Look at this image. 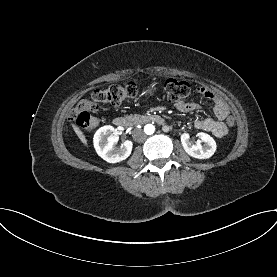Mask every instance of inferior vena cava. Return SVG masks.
<instances>
[{
  "label": "inferior vena cava",
  "instance_id": "inferior-vena-cava-1",
  "mask_svg": "<svg viewBox=\"0 0 277 277\" xmlns=\"http://www.w3.org/2000/svg\"><path fill=\"white\" fill-rule=\"evenodd\" d=\"M146 137V134L141 129H135L133 132V138L137 142H144Z\"/></svg>",
  "mask_w": 277,
  "mask_h": 277
}]
</instances>
